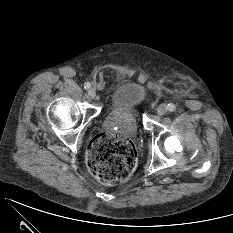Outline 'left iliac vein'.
Masks as SVG:
<instances>
[{"instance_id":"4c4485c4","label":"left iliac vein","mask_w":233,"mask_h":233,"mask_svg":"<svg viewBox=\"0 0 233 233\" xmlns=\"http://www.w3.org/2000/svg\"><path fill=\"white\" fill-rule=\"evenodd\" d=\"M167 111H168L167 106L165 104H161V105H159V107L157 109V114L159 116H163L167 113Z\"/></svg>"}]
</instances>
